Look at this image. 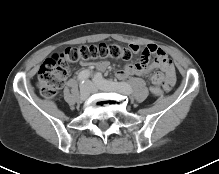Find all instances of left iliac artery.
I'll return each mask as SVG.
<instances>
[{"label":"left iliac artery","instance_id":"left-iliac-artery-1","mask_svg":"<svg viewBox=\"0 0 219 174\" xmlns=\"http://www.w3.org/2000/svg\"><path fill=\"white\" fill-rule=\"evenodd\" d=\"M93 81L100 87H106L123 94H131L132 88L129 84L125 82H112L103 78L101 73H96Z\"/></svg>","mask_w":219,"mask_h":174}]
</instances>
